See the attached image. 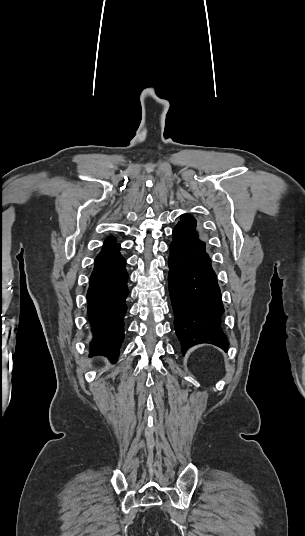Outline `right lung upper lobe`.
<instances>
[{
  "label": "right lung upper lobe",
  "mask_w": 305,
  "mask_h": 536,
  "mask_svg": "<svg viewBox=\"0 0 305 536\" xmlns=\"http://www.w3.org/2000/svg\"><path fill=\"white\" fill-rule=\"evenodd\" d=\"M116 245H117V243H115V239L113 237H110V238H107L105 240L102 249H107V248H110V247H113V246H116Z\"/></svg>",
  "instance_id": "obj_1"
}]
</instances>
